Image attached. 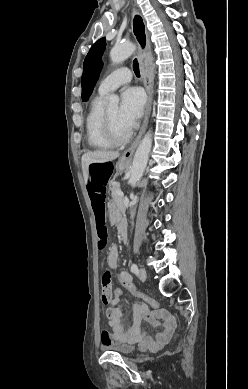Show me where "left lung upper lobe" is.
<instances>
[{"mask_svg":"<svg viewBox=\"0 0 248 389\" xmlns=\"http://www.w3.org/2000/svg\"><path fill=\"white\" fill-rule=\"evenodd\" d=\"M106 48L105 37L96 41L88 52L83 65L82 101H87L103 67L102 55Z\"/></svg>","mask_w":248,"mask_h":389,"instance_id":"1","label":"left lung upper lobe"}]
</instances>
